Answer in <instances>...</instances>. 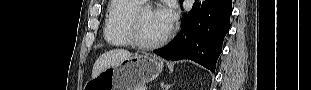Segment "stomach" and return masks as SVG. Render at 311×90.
<instances>
[{
  "mask_svg": "<svg viewBox=\"0 0 311 90\" xmlns=\"http://www.w3.org/2000/svg\"><path fill=\"white\" fill-rule=\"evenodd\" d=\"M162 70L163 63L157 57L136 54L92 78L85 90H138L156 79Z\"/></svg>",
  "mask_w": 311,
  "mask_h": 90,
  "instance_id": "stomach-1",
  "label": "stomach"
}]
</instances>
